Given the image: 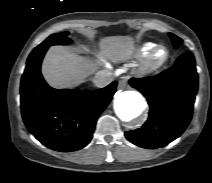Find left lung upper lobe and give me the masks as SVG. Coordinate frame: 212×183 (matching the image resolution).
<instances>
[{"label": "left lung upper lobe", "mask_w": 212, "mask_h": 183, "mask_svg": "<svg viewBox=\"0 0 212 183\" xmlns=\"http://www.w3.org/2000/svg\"><path fill=\"white\" fill-rule=\"evenodd\" d=\"M169 35L173 41L174 47L177 48L182 43V40L172 33H170Z\"/></svg>", "instance_id": "left-lung-upper-lobe-1"}]
</instances>
